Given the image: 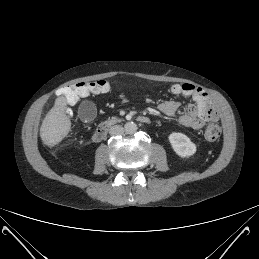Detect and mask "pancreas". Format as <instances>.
Returning <instances> with one entry per match:
<instances>
[{"instance_id": "pancreas-1", "label": "pancreas", "mask_w": 259, "mask_h": 259, "mask_svg": "<svg viewBox=\"0 0 259 259\" xmlns=\"http://www.w3.org/2000/svg\"><path fill=\"white\" fill-rule=\"evenodd\" d=\"M120 121H121V119H119L118 117L113 116V117L109 118L105 123L114 124V123H117V122H120Z\"/></svg>"}]
</instances>
